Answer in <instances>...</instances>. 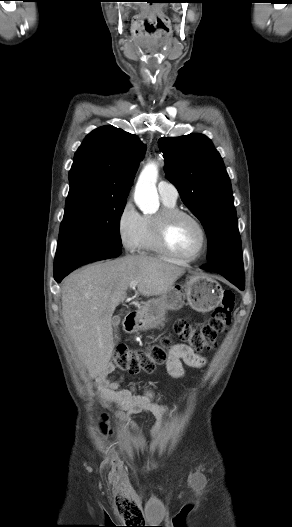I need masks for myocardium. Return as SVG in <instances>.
I'll list each match as a JSON object with an SVG mask.
<instances>
[{
  "mask_svg": "<svg viewBox=\"0 0 292 527\" xmlns=\"http://www.w3.org/2000/svg\"><path fill=\"white\" fill-rule=\"evenodd\" d=\"M179 217H187L194 221L201 233V246L196 254L190 257H184L176 253L168 242V232L172 222ZM152 228L155 243L159 250L166 256L183 263H192L199 260L208 249V233L203 222L192 212L172 208H163L152 218Z\"/></svg>",
  "mask_w": 292,
  "mask_h": 527,
  "instance_id": "f54148a6",
  "label": "myocardium"
}]
</instances>
